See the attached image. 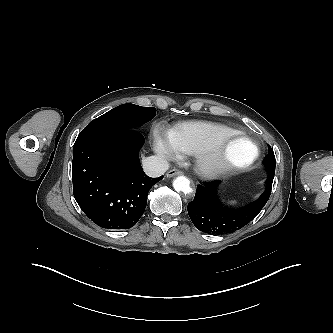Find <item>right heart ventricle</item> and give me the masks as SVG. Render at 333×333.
Returning a JSON list of instances; mask_svg holds the SVG:
<instances>
[{"label":"right heart ventricle","mask_w":333,"mask_h":333,"mask_svg":"<svg viewBox=\"0 0 333 333\" xmlns=\"http://www.w3.org/2000/svg\"><path fill=\"white\" fill-rule=\"evenodd\" d=\"M235 131L223 124L209 121H187L176 125L170 136L180 151L185 154H197L209 147L219 137Z\"/></svg>","instance_id":"1"}]
</instances>
